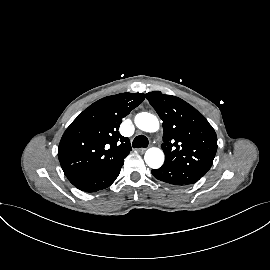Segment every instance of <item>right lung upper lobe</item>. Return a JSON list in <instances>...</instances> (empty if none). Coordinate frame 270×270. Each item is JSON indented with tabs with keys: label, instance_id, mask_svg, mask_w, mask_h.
<instances>
[{
	"label": "right lung upper lobe",
	"instance_id": "cb5924a9",
	"mask_svg": "<svg viewBox=\"0 0 270 270\" xmlns=\"http://www.w3.org/2000/svg\"><path fill=\"white\" fill-rule=\"evenodd\" d=\"M144 97L127 92L102 98L71 123L58 147V158L69 180L111 169L124 160L131 146L119 133V126Z\"/></svg>",
	"mask_w": 270,
	"mask_h": 270
}]
</instances>
